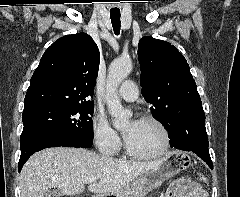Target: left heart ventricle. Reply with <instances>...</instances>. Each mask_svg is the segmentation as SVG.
<instances>
[{"label":"left heart ventricle","instance_id":"b2bd125f","mask_svg":"<svg viewBox=\"0 0 240 197\" xmlns=\"http://www.w3.org/2000/svg\"><path fill=\"white\" fill-rule=\"evenodd\" d=\"M129 125L126 126L125 130L128 129ZM127 143L135 152L153 153L160 149L163 138L161 131L155 124L140 120Z\"/></svg>","mask_w":240,"mask_h":197}]
</instances>
